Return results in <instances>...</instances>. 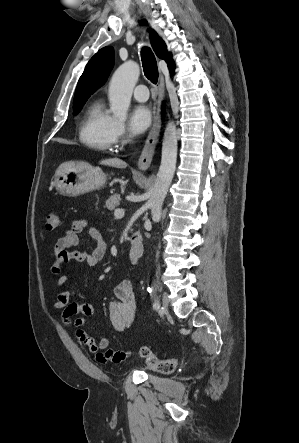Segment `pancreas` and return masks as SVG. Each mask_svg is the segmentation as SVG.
Returning <instances> with one entry per match:
<instances>
[{
    "label": "pancreas",
    "mask_w": 299,
    "mask_h": 443,
    "mask_svg": "<svg viewBox=\"0 0 299 443\" xmlns=\"http://www.w3.org/2000/svg\"><path fill=\"white\" fill-rule=\"evenodd\" d=\"M120 201H121L120 195L114 194L106 200L105 208H107L109 211H113L117 206L120 205Z\"/></svg>",
    "instance_id": "1"
}]
</instances>
